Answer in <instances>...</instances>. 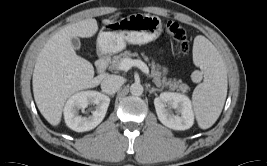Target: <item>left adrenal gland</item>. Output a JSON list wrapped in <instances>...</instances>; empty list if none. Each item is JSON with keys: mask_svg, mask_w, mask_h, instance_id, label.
Wrapping results in <instances>:
<instances>
[{"mask_svg": "<svg viewBox=\"0 0 267 166\" xmlns=\"http://www.w3.org/2000/svg\"><path fill=\"white\" fill-rule=\"evenodd\" d=\"M147 90L149 91V93H153V92H156V91H161L160 89H157L155 87H150V85L147 86Z\"/></svg>", "mask_w": 267, "mask_h": 166, "instance_id": "a2214340", "label": "left adrenal gland"}]
</instances>
